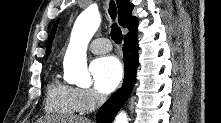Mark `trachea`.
I'll use <instances>...</instances> for the list:
<instances>
[{"instance_id":"3493384b","label":"trachea","mask_w":221,"mask_h":123,"mask_svg":"<svg viewBox=\"0 0 221 123\" xmlns=\"http://www.w3.org/2000/svg\"><path fill=\"white\" fill-rule=\"evenodd\" d=\"M109 14L111 16L112 19H115L116 17V14H117V10H116V6H115V3L113 1H111L109 3ZM111 38L112 40L117 43V44H120L122 42V32L121 30L117 27L116 24H113L112 25V29H111Z\"/></svg>"}]
</instances>
